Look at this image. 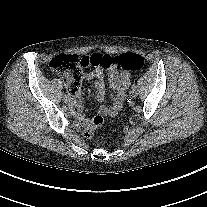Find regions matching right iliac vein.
<instances>
[{"label": "right iliac vein", "instance_id": "obj_1", "mask_svg": "<svg viewBox=\"0 0 207 207\" xmlns=\"http://www.w3.org/2000/svg\"><path fill=\"white\" fill-rule=\"evenodd\" d=\"M63 101H64L66 104H69V102H70L68 97H64V98H63Z\"/></svg>", "mask_w": 207, "mask_h": 207}]
</instances>
